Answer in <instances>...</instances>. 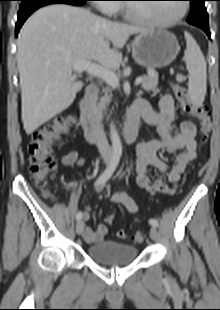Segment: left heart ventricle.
Wrapping results in <instances>:
<instances>
[{"label":"left heart ventricle","mask_w":220,"mask_h":310,"mask_svg":"<svg viewBox=\"0 0 220 310\" xmlns=\"http://www.w3.org/2000/svg\"><path fill=\"white\" fill-rule=\"evenodd\" d=\"M134 14L157 21L169 20L175 17L181 3L130 4Z\"/></svg>","instance_id":"b2bd125f"}]
</instances>
